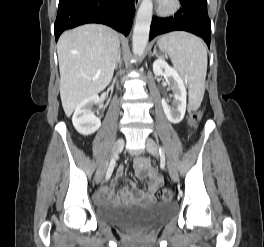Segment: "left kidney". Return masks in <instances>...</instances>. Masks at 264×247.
<instances>
[{
  "instance_id": "left-kidney-1",
  "label": "left kidney",
  "mask_w": 264,
  "mask_h": 247,
  "mask_svg": "<svg viewBox=\"0 0 264 247\" xmlns=\"http://www.w3.org/2000/svg\"><path fill=\"white\" fill-rule=\"evenodd\" d=\"M153 72L156 76H164L173 92L174 100L171 106L165 98L162 99V107L167 119L174 124L181 122L186 112L187 96L181 76L175 68L169 66L162 58L154 61Z\"/></svg>"
}]
</instances>
